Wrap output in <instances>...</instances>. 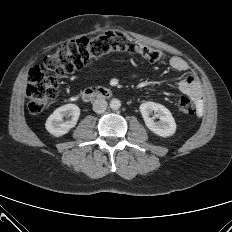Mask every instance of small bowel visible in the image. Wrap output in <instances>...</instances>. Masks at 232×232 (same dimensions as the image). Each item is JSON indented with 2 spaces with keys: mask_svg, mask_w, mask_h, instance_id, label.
<instances>
[{
  "mask_svg": "<svg viewBox=\"0 0 232 232\" xmlns=\"http://www.w3.org/2000/svg\"><path fill=\"white\" fill-rule=\"evenodd\" d=\"M170 66L172 69L179 72H188L189 64L179 56L170 58ZM178 89L184 95L191 97L197 105L200 112L203 109V94L197 79L193 75H188L178 82Z\"/></svg>",
  "mask_w": 232,
  "mask_h": 232,
  "instance_id": "c3829d8e",
  "label": "small bowel"
}]
</instances>
